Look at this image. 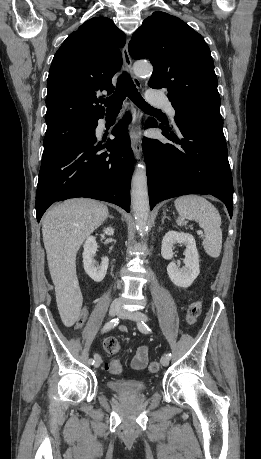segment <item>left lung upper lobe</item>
<instances>
[{
	"instance_id": "5c2ea615",
	"label": "left lung upper lobe",
	"mask_w": 261,
	"mask_h": 459,
	"mask_svg": "<svg viewBox=\"0 0 261 459\" xmlns=\"http://www.w3.org/2000/svg\"><path fill=\"white\" fill-rule=\"evenodd\" d=\"M134 59L149 58L148 85L167 91L175 122H222L217 77L203 37L175 16L156 11L132 36Z\"/></svg>"
}]
</instances>
